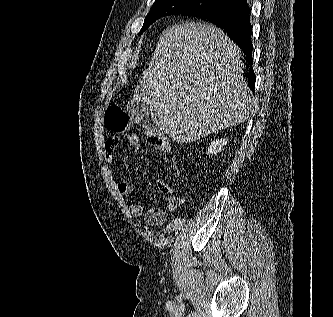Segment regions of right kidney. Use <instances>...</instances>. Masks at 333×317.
<instances>
[{"instance_id": "obj_1", "label": "right kidney", "mask_w": 333, "mask_h": 317, "mask_svg": "<svg viewBox=\"0 0 333 317\" xmlns=\"http://www.w3.org/2000/svg\"><path fill=\"white\" fill-rule=\"evenodd\" d=\"M227 144V140L225 138H221L220 140L219 139H216L214 140L213 142H211L210 146L208 147V150H207V154H217L219 153L223 146Z\"/></svg>"}]
</instances>
